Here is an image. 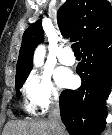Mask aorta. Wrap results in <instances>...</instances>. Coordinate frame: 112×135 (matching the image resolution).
I'll use <instances>...</instances> for the list:
<instances>
[{
  "instance_id": "762f6f07",
  "label": "aorta",
  "mask_w": 112,
  "mask_h": 135,
  "mask_svg": "<svg viewBox=\"0 0 112 135\" xmlns=\"http://www.w3.org/2000/svg\"><path fill=\"white\" fill-rule=\"evenodd\" d=\"M44 55H45L44 47L39 46L35 51L34 59H33L35 67H41L43 65Z\"/></svg>"
}]
</instances>
